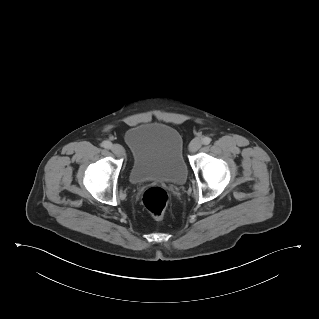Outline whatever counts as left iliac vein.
<instances>
[{
  "label": "left iliac vein",
  "instance_id": "left-iliac-vein-1",
  "mask_svg": "<svg viewBox=\"0 0 319 319\" xmlns=\"http://www.w3.org/2000/svg\"><path fill=\"white\" fill-rule=\"evenodd\" d=\"M201 146H202L201 140L196 138V139L191 141V143L189 145V150H190V152H196L201 148Z\"/></svg>",
  "mask_w": 319,
  "mask_h": 319
}]
</instances>
